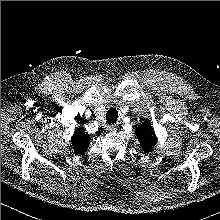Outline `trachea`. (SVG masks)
<instances>
[{
  "label": "trachea",
  "instance_id": "1",
  "mask_svg": "<svg viewBox=\"0 0 220 220\" xmlns=\"http://www.w3.org/2000/svg\"><path fill=\"white\" fill-rule=\"evenodd\" d=\"M118 118V111L115 108H111L106 113V123H115Z\"/></svg>",
  "mask_w": 220,
  "mask_h": 220
}]
</instances>
